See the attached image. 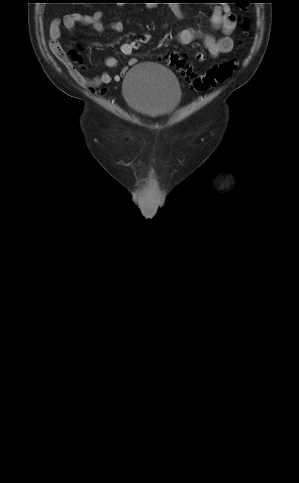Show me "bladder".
Listing matches in <instances>:
<instances>
[{
    "instance_id": "1",
    "label": "bladder",
    "mask_w": 299,
    "mask_h": 483,
    "mask_svg": "<svg viewBox=\"0 0 299 483\" xmlns=\"http://www.w3.org/2000/svg\"><path fill=\"white\" fill-rule=\"evenodd\" d=\"M126 103L147 117L169 114L181 102V89L175 75L152 62L132 67L122 83Z\"/></svg>"
}]
</instances>
